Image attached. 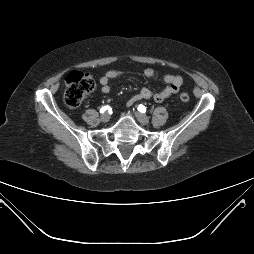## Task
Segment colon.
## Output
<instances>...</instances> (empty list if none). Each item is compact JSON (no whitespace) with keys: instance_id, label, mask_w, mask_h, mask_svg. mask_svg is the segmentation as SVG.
I'll return each mask as SVG.
<instances>
[{"instance_id":"1","label":"colon","mask_w":254,"mask_h":254,"mask_svg":"<svg viewBox=\"0 0 254 254\" xmlns=\"http://www.w3.org/2000/svg\"><path fill=\"white\" fill-rule=\"evenodd\" d=\"M95 82L90 73L74 71L65 80L64 102L69 108H77L83 100L94 90ZM187 93L180 94L182 102L189 101Z\"/></svg>"}]
</instances>
